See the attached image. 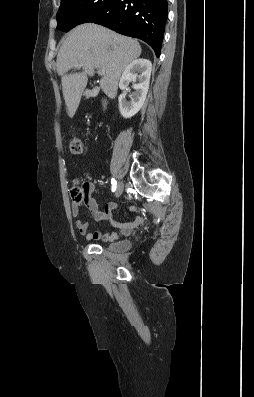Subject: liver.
Here are the masks:
<instances>
[{"label": "liver", "instance_id": "6515ba94", "mask_svg": "<svg viewBox=\"0 0 254 397\" xmlns=\"http://www.w3.org/2000/svg\"><path fill=\"white\" fill-rule=\"evenodd\" d=\"M141 52L137 40L100 25L86 23L74 28L65 37L56 61L68 116L72 118L75 115L88 76H93L95 69L104 70L100 87L113 99L121 73ZM72 68H82L83 72L68 74Z\"/></svg>", "mask_w": 254, "mask_h": 397}]
</instances>
